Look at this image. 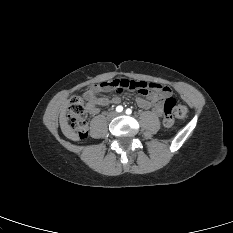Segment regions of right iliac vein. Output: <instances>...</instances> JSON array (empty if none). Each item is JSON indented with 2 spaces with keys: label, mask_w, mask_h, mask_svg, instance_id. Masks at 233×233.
<instances>
[{
  "label": "right iliac vein",
  "mask_w": 233,
  "mask_h": 233,
  "mask_svg": "<svg viewBox=\"0 0 233 233\" xmlns=\"http://www.w3.org/2000/svg\"><path fill=\"white\" fill-rule=\"evenodd\" d=\"M115 116H116V113H115V112H110V113L108 114V119H113Z\"/></svg>",
  "instance_id": "right-iliac-vein-1"
}]
</instances>
